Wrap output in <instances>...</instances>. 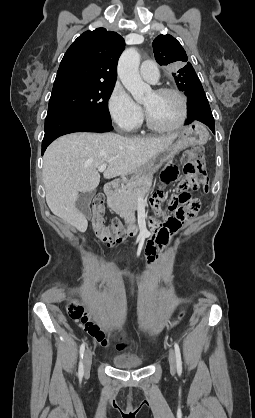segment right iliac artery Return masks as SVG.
Masks as SVG:
<instances>
[{
  "label": "right iliac artery",
  "mask_w": 255,
  "mask_h": 418,
  "mask_svg": "<svg viewBox=\"0 0 255 418\" xmlns=\"http://www.w3.org/2000/svg\"><path fill=\"white\" fill-rule=\"evenodd\" d=\"M84 351H85V343H82V345L80 346V351H79L80 362H79L78 376L80 379L83 377V374H84V365H83Z\"/></svg>",
  "instance_id": "82829eb1"
}]
</instances>
